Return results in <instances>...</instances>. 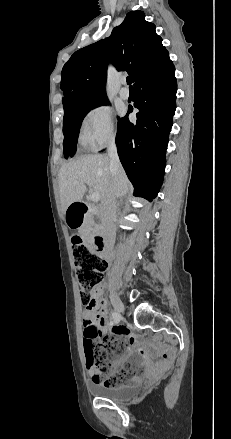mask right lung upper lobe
Returning a JSON list of instances; mask_svg holds the SVG:
<instances>
[{"label": "right lung upper lobe", "instance_id": "1", "mask_svg": "<svg viewBox=\"0 0 231 439\" xmlns=\"http://www.w3.org/2000/svg\"><path fill=\"white\" fill-rule=\"evenodd\" d=\"M155 25L142 11L128 13L108 38L76 51L62 69L64 111L76 105L107 99L105 83L108 62L126 70L135 83L157 68L168 56Z\"/></svg>", "mask_w": 231, "mask_h": 439}]
</instances>
